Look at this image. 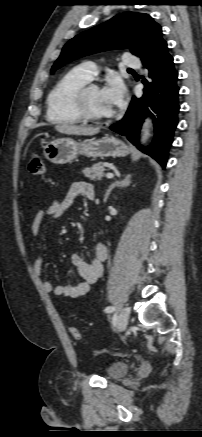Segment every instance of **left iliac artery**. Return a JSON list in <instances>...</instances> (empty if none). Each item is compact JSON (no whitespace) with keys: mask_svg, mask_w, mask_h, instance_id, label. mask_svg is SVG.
I'll use <instances>...</instances> for the list:
<instances>
[{"mask_svg":"<svg viewBox=\"0 0 202 437\" xmlns=\"http://www.w3.org/2000/svg\"><path fill=\"white\" fill-rule=\"evenodd\" d=\"M104 311L107 312V313L113 312V311H115V307H113V306H108V307L105 308Z\"/></svg>","mask_w":202,"mask_h":437,"instance_id":"44dca946","label":"left iliac artery"}]
</instances>
